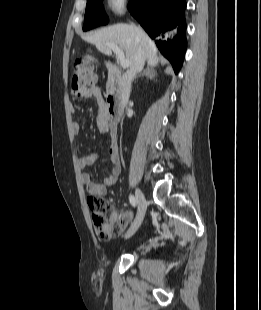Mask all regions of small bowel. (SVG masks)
<instances>
[{
    "label": "small bowel",
    "mask_w": 261,
    "mask_h": 310,
    "mask_svg": "<svg viewBox=\"0 0 261 310\" xmlns=\"http://www.w3.org/2000/svg\"><path fill=\"white\" fill-rule=\"evenodd\" d=\"M75 97L79 98H94L99 107V118H98V128L101 132L109 133L110 145L108 149L109 160L112 164V168L109 173L105 176L102 183H97L93 181L87 172H82L81 180L84 184L88 193L92 195L105 196L107 193L106 187L115 184L117 178L121 172L120 159L118 154L116 134L108 127L103 121L101 114L104 109V101L99 87H93L80 92L74 93ZM72 129L75 135L79 133L78 123H73ZM97 160V156L94 154L85 155L79 158V166L82 170L91 167ZM126 214H123V216Z\"/></svg>",
    "instance_id": "1"
}]
</instances>
